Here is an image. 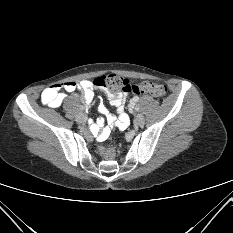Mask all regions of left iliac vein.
<instances>
[{"label":"left iliac vein","instance_id":"4c4485c4","mask_svg":"<svg viewBox=\"0 0 233 233\" xmlns=\"http://www.w3.org/2000/svg\"><path fill=\"white\" fill-rule=\"evenodd\" d=\"M135 122L139 126L143 125L145 122L144 116L142 114H137L135 117Z\"/></svg>","mask_w":233,"mask_h":233}]
</instances>
